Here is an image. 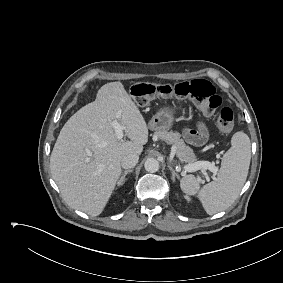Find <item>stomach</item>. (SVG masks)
I'll use <instances>...</instances> for the list:
<instances>
[{
  "mask_svg": "<svg viewBox=\"0 0 283 283\" xmlns=\"http://www.w3.org/2000/svg\"><path fill=\"white\" fill-rule=\"evenodd\" d=\"M175 109L172 107L161 108L149 121V128L155 131L169 130L174 122Z\"/></svg>",
  "mask_w": 283,
  "mask_h": 283,
  "instance_id": "0dacf381",
  "label": "stomach"
}]
</instances>
